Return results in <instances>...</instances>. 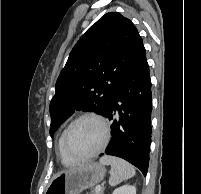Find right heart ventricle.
I'll return each instance as SVG.
<instances>
[{
	"instance_id": "1",
	"label": "right heart ventricle",
	"mask_w": 201,
	"mask_h": 194,
	"mask_svg": "<svg viewBox=\"0 0 201 194\" xmlns=\"http://www.w3.org/2000/svg\"><path fill=\"white\" fill-rule=\"evenodd\" d=\"M64 132V131H63ZM63 132L60 134L59 138H58V142H57V149H58V155H59V158L61 160V163L64 165V166H73L76 162H73L71 161L70 159H68L64 154H63V151H62V148H61V142H62V136H63Z\"/></svg>"
}]
</instances>
